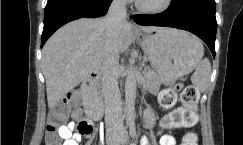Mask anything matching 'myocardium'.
Instances as JSON below:
<instances>
[{"mask_svg": "<svg viewBox=\"0 0 243 145\" xmlns=\"http://www.w3.org/2000/svg\"><path fill=\"white\" fill-rule=\"evenodd\" d=\"M173 0H164V2L157 7H146L136 0V7L139 11L146 14H162L170 9L172 6Z\"/></svg>", "mask_w": 243, "mask_h": 145, "instance_id": "1", "label": "myocardium"}]
</instances>
